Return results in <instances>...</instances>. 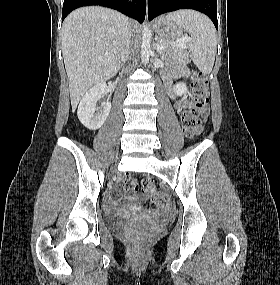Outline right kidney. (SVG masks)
<instances>
[{
    "instance_id": "1",
    "label": "right kidney",
    "mask_w": 280,
    "mask_h": 285,
    "mask_svg": "<svg viewBox=\"0 0 280 285\" xmlns=\"http://www.w3.org/2000/svg\"><path fill=\"white\" fill-rule=\"evenodd\" d=\"M106 83L101 82L89 89L78 106L77 115L80 122L89 130L99 129L111 111V103L103 102L100 107L96 103L106 94Z\"/></svg>"
}]
</instances>
